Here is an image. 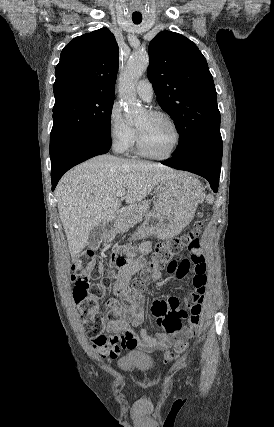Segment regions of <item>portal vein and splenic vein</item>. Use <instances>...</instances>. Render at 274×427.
I'll use <instances>...</instances> for the list:
<instances>
[{
	"label": "portal vein and splenic vein",
	"instance_id": "18ae733b",
	"mask_svg": "<svg viewBox=\"0 0 274 427\" xmlns=\"http://www.w3.org/2000/svg\"><path fill=\"white\" fill-rule=\"evenodd\" d=\"M126 194V190H117L116 192V196H118V198H122V196H125Z\"/></svg>",
	"mask_w": 274,
	"mask_h": 427
}]
</instances>
